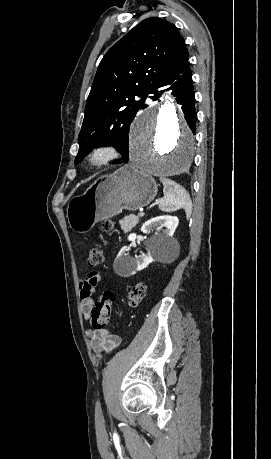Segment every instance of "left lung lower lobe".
<instances>
[{"label":"left lung lower lobe","mask_w":271,"mask_h":459,"mask_svg":"<svg viewBox=\"0 0 271 459\" xmlns=\"http://www.w3.org/2000/svg\"><path fill=\"white\" fill-rule=\"evenodd\" d=\"M170 85L168 90H172V94L176 96V101L180 105L185 119L192 130L193 134L196 132V119L197 113L195 110V93L192 81L191 65L187 60L183 63L173 74L165 79L156 89L150 94L153 101L158 100L160 94L157 89L161 86ZM142 108H145L144 105ZM128 156L123 158V162H127Z\"/></svg>","instance_id":"left-lung-lower-lobe-1"}]
</instances>
